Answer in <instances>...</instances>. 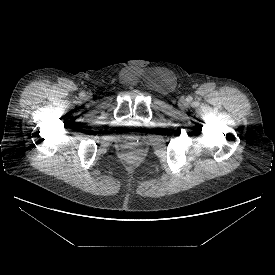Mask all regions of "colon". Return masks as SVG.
<instances>
[{
    "mask_svg": "<svg viewBox=\"0 0 275 275\" xmlns=\"http://www.w3.org/2000/svg\"><path fill=\"white\" fill-rule=\"evenodd\" d=\"M140 155V149L136 146H131L127 148L124 154V158L128 162H136L140 159Z\"/></svg>",
    "mask_w": 275,
    "mask_h": 275,
    "instance_id": "1",
    "label": "colon"
}]
</instances>
